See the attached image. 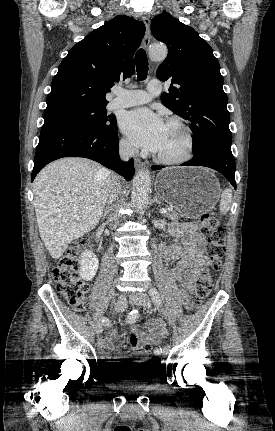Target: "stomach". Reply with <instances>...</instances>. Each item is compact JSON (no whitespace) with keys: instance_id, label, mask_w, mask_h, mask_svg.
<instances>
[{"instance_id":"stomach-1","label":"stomach","mask_w":275,"mask_h":431,"mask_svg":"<svg viewBox=\"0 0 275 431\" xmlns=\"http://www.w3.org/2000/svg\"><path fill=\"white\" fill-rule=\"evenodd\" d=\"M155 189L187 218H197L213 209L221 191L214 174L202 167L163 169L157 174Z\"/></svg>"}]
</instances>
